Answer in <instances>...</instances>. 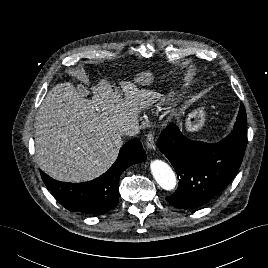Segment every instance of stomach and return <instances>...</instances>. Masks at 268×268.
Masks as SVG:
<instances>
[{
  "label": "stomach",
  "instance_id": "obj_1",
  "mask_svg": "<svg viewBox=\"0 0 268 268\" xmlns=\"http://www.w3.org/2000/svg\"><path fill=\"white\" fill-rule=\"evenodd\" d=\"M171 75L179 74L176 69L170 71ZM153 75L150 72H140L134 78L132 83L140 86H149L153 82ZM205 122V111L203 107L191 111L185 120L186 129L189 132H195L201 129Z\"/></svg>",
  "mask_w": 268,
  "mask_h": 268
}]
</instances>
